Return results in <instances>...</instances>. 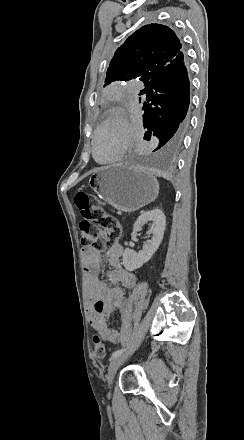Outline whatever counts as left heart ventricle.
Segmentation results:
<instances>
[{"instance_id": "1", "label": "left heart ventricle", "mask_w": 244, "mask_h": 440, "mask_svg": "<svg viewBox=\"0 0 244 440\" xmlns=\"http://www.w3.org/2000/svg\"><path fill=\"white\" fill-rule=\"evenodd\" d=\"M104 128L97 135L95 143L96 156L101 161L107 160L115 154L116 133H112L111 130H115L117 127Z\"/></svg>"}]
</instances>
